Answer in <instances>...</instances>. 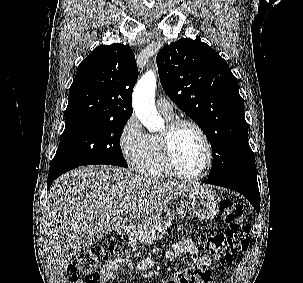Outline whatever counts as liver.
I'll use <instances>...</instances> for the list:
<instances>
[{
    "instance_id": "liver-1",
    "label": "liver",
    "mask_w": 303,
    "mask_h": 283,
    "mask_svg": "<svg viewBox=\"0 0 303 283\" xmlns=\"http://www.w3.org/2000/svg\"><path fill=\"white\" fill-rule=\"evenodd\" d=\"M199 187L104 165L84 166L62 175L50 187L46 207L58 274L63 277L67 272L83 235L101 236L116 230L123 212L139 221L160 214L175 199Z\"/></svg>"
}]
</instances>
